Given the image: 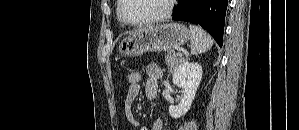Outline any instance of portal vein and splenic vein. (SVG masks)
I'll use <instances>...</instances> for the list:
<instances>
[{
    "label": "portal vein and splenic vein",
    "mask_w": 299,
    "mask_h": 130,
    "mask_svg": "<svg viewBox=\"0 0 299 130\" xmlns=\"http://www.w3.org/2000/svg\"><path fill=\"white\" fill-rule=\"evenodd\" d=\"M177 56L182 57V53H181V52H178V53H177Z\"/></svg>",
    "instance_id": "obj_1"
}]
</instances>
